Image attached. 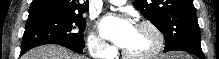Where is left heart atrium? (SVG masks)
I'll return each mask as SVG.
<instances>
[{"label":"left heart atrium","instance_id":"39dd6f15","mask_svg":"<svg viewBox=\"0 0 219 59\" xmlns=\"http://www.w3.org/2000/svg\"><path fill=\"white\" fill-rule=\"evenodd\" d=\"M101 34L115 45L124 48L134 33L135 26L126 18L107 15L99 21Z\"/></svg>","mask_w":219,"mask_h":59}]
</instances>
